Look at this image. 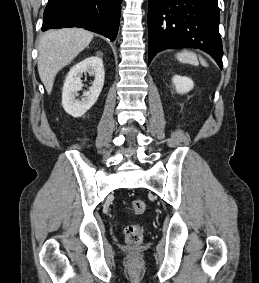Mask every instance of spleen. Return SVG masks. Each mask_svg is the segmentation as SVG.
<instances>
[{"label": "spleen", "mask_w": 259, "mask_h": 283, "mask_svg": "<svg viewBox=\"0 0 259 283\" xmlns=\"http://www.w3.org/2000/svg\"><path fill=\"white\" fill-rule=\"evenodd\" d=\"M176 58L181 63L198 66L200 62L201 65L205 67L208 66L203 58L198 57L195 53L190 52V51H182L176 55Z\"/></svg>", "instance_id": "3e777b00"}]
</instances>
